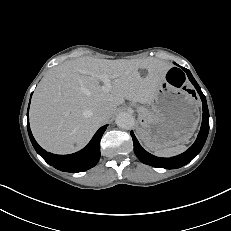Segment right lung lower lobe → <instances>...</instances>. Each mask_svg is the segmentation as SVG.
I'll return each instance as SVG.
<instances>
[{
	"label": "right lung lower lobe",
	"instance_id": "obj_1",
	"mask_svg": "<svg viewBox=\"0 0 231 231\" xmlns=\"http://www.w3.org/2000/svg\"><path fill=\"white\" fill-rule=\"evenodd\" d=\"M29 110V108H28ZM107 125L102 126L82 150L70 155H55L46 152L35 141L27 123L28 134L36 152L51 166L64 172H82L94 167L100 158V140Z\"/></svg>",
	"mask_w": 231,
	"mask_h": 231
}]
</instances>
